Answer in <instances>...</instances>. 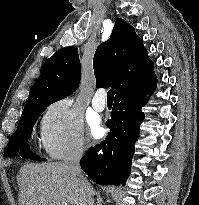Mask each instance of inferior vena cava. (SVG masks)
Returning <instances> with one entry per match:
<instances>
[{
	"instance_id": "1",
	"label": "inferior vena cava",
	"mask_w": 199,
	"mask_h": 205,
	"mask_svg": "<svg viewBox=\"0 0 199 205\" xmlns=\"http://www.w3.org/2000/svg\"><path fill=\"white\" fill-rule=\"evenodd\" d=\"M84 149L82 147L71 150L65 157V162L72 172L73 176L80 181L89 196H92L91 189L87 186L85 177L80 167V159L83 155Z\"/></svg>"
}]
</instances>
